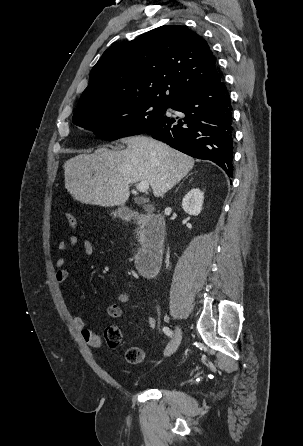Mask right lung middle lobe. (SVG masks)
<instances>
[{
	"label": "right lung middle lobe",
	"instance_id": "1",
	"mask_svg": "<svg viewBox=\"0 0 303 446\" xmlns=\"http://www.w3.org/2000/svg\"><path fill=\"white\" fill-rule=\"evenodd\" d=\"M170 106L146 100L104 105L73 115V123L111 141L142 134L163 117Z\"/></svg>",
	"mask_w": 303,
	"mask_h": 446
}]
</instances>
